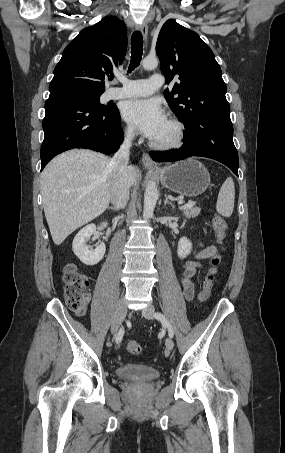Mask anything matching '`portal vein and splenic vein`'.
<instances>
[{
    "mask_svg": "<svg viewBox=\"0 0 285 453\" xmlns=\"http://www.w3.org/2000/svg\"><path fill=\"white\" fill-rule=\"evenodd\" d=\"M179 204H182V202L180 201ZM196 203L195 202H188L186 204H184L182 206V208H190V207H193Z\"/></svg>",
    "mask_w": 285,
    "mask_h": 453,
    "instance_id": "1",
    "label": "portal vein and splenic vein"
}]
</instances>
